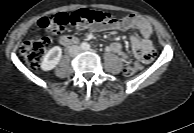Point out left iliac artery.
<instances>
[{
	"mask_svg": "<svg viewBox=\"0 0 194 133\" xmlns=\"http://www.w3.org/2000/svg\"><path fill=\"white\" fill-rule=\"evenodd\" d=\"M89 49H90V46L88 45L87 50H89Z\"/></svg>",
	"mask_w": 194,
	"mask_h": 133,
	"instance_id": "1",
	"label": "left iliac artery"
}]
</instances>
